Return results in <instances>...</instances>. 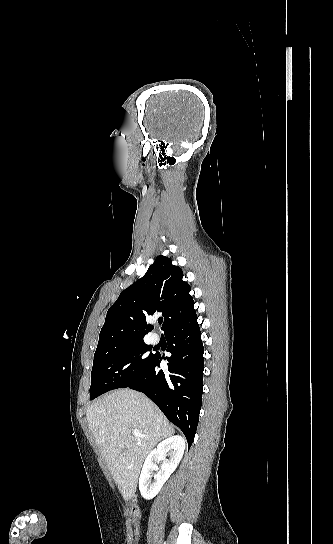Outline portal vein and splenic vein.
<instances>
[{
  "mask_svg": "<svg viewBox=\"0 0 333 544\" xmlns=\"http://www.w3.org/2000/svg\"><path fill=\"white\" fill-rule=\"evenodd\" d=\"M132 434H133L135 437H137V438H139V437H146V435L141 434L140 431L137 430V429H134L133 432H132Z\"/></svg>",
  "mask_w": 333,
  "mask_h": 544,
  "instance_id": "portal-vein-and-splenic-vein-1",
  "label": "portal vein and splenic vein"
}]
</instances>
